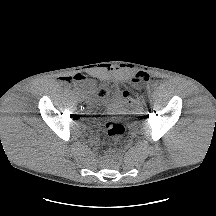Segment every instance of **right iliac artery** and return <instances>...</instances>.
I'll list each match as a JSON object with an SVG mask.
<instances>
[{"label": "right iliac artery", "instance_id": "82829eb1", "mask_svg": "<svg viewBox=\"0 0 216 216\" xmlns=\"http://www.w3.org/2000/svg\"><path fill=\"white\" fill-rule=\"evenodd\" d=\"M71 93H72V94H75V93H78V91L75 90V89H72V90H71Z\"/></svg>", "mask_w": 216, "mask_h": 216}]
</instances>
